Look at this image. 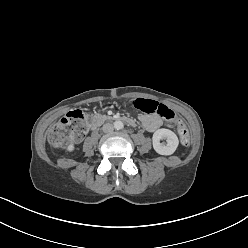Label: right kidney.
<instances>
[{
  "label": "right kidney",
  "instance_id": "obj_1",
  "mask_svg": "<svg viewBox=\"0 0 248 248\" xmlns=\"http://www.w3.org/2000/svg\"><path fill=\"white\" fill-rule=\"evenodd\" d=\"M74 149H75V147H74V144H69L67 147H66V150L68 151V152H73L74 151Z\"/></svg>",
  "mask_w": 248,
  "mask_h": 248
}]
</instances>
